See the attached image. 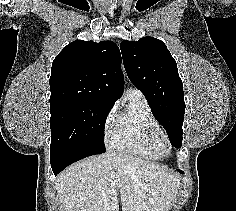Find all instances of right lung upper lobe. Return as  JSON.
Here are the masks:
<instances>
[{"instance_id":"right-lung-upper-lobe-1","label":"right lung upper lobe","mask_w":236,"mask_h":211,"mask_svg":"<svg viewBox=\"0 0 236 211\" xmlns=\"http://www.w3.org/2000/svg\"><path fill=\"white\" fill-rule=\"evenodd\" d=\"M123 89L121 54L114 42L73 41L52 63L50 107L70 102L114 105Z\"/></svg>"}]
</instances>
